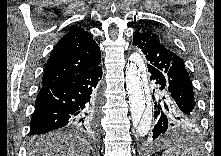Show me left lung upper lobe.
Here are the masks:
<instances>
[{
	"mask_svg": "<svg viewBox=\"0 0 221 156\" xmlns=\"http://www.w3.org/2000/svg\"><path fill=\"white\" fill-rule=\"evenodd\" d=\"M133 39V44L145 54L148 69H158L169 78V90L177 105L198 116L189 74L167 37L146 24L133 33Z\"/></svg>",
	"mask_w": 221,
	"mask_h": 156,
	"instance_id": "left-lung-upper-lobe-1",
	"label": "left lung upper lobe"
}]
</instances>
